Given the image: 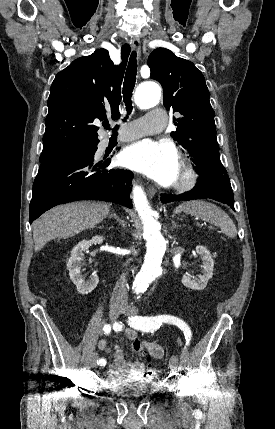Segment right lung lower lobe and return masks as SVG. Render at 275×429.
<instances>
[{
	"instance_id": "98d812e1",
	"label": "right lung lower lobe",
	"mask_w": 275,
	"mask_h": 429,
	"mask_svg": "<svg viewBox=\"0 0 275 429\" xmlns=\"http://www.w3.org/2000/svg\"><path fill=\"white\" fill-rule=\"evenodd\" d=\"M109 159L73 158L40 165L29 207L30 224L50 208L77 200H104L132 208L133 173L106 169Z\"/></svg>"
}]
</instances>
